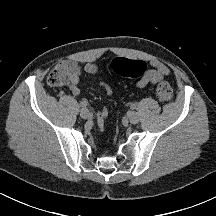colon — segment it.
Returning a JSON list of instances; mask_svg holds the SVG:
<instances>
[{
    "label": "colon",
    "mask_w": 216,
    "mask_h": 216,
    "mask_svg": "<svg viewBox=\"0 0 216 216\" xmlns=\"http://www.w3.org/2000/svg\"><path fill=\"white\" fill-rule=\"evenodd\" d=\"M109 70L120 76L139 77L146 71V64L140 60H130L126 58H114L108 64ZM68 70L64 64H58L50 72L47 82L52 87H62L67 83ZM157 97L161 101H170L172 98V88L165 82L160 81L156 87ZM109 118V109L103 107L97 114V123L100 129H105Z\"/></svg>",
    "instance_id": "5ec220e1"
}]
</instances>
